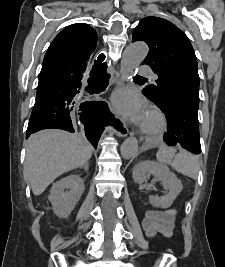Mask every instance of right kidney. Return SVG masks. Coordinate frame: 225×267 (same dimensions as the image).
Masks as SVG:
<instances>
[{
  "label": "right kidney",
  "instance_id": "1",
  "mask_svg": "<svg viewBox=\"0 0 225 267\" xmlns=\"http://www.w3.org/2000/svg\"><path fill=\"white\" fill-rule=\"evenodd\" d=\"M84 182L79 175H69L55 182L48 197L54 213L60 218L68 217L84 192Z\"/></svg>",
  "mask_w": 225,
  "mask_h": 267
}]
</instances>
